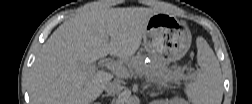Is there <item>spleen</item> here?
Segmentation results:
<instances>
[{"mask_svg": "<svg viewBox=\"0 0 252 104\" xmlns=\"http://www.w3.org/2000/svg\"><path fill=\"white\" fill-rule=\"evenodd\" d=\"M197 49L200 70L195 80L186 86V95L194 104H220L223 81L219 62L204 38H197Z\"/></svg>", "mask_w": 252, "mask_h": 104, "instance_id": "spleen-1", "label": "spleen"}]
</instances>
